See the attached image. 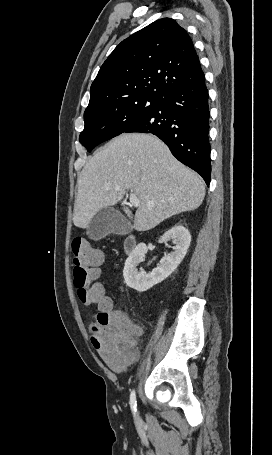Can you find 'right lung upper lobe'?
<instances>
[{"instance_id": "right-lung-upper-lobe-1", "label": "right lung upper lobe", "mask_w": 272, "mask_h": 455, "mask_svg": "<svg viewBox=\"0 0 272 455\" xmlns=\"http://www.w3.org/2000/svg\"><path fill=\"white\" fill-rule=\"evenodd\" d=\"M203 75L186 30L159 19L123 40L101 66L85 111L136 95L163 97Z\"/></svg>"}]
</instances>
